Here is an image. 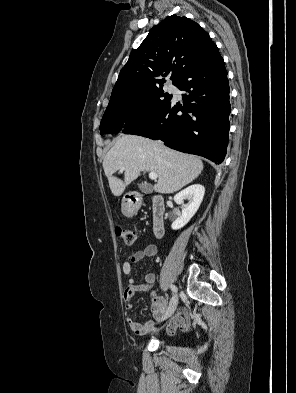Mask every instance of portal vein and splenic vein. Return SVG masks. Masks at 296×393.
I'll list each match as a JSON object with an SVG mask.
<instances>
[{
  "mask_svg": "<svg viewBox=\"0 0 296 393\" xmlns=\"http://www.w3.org/2000/svg\"><path fill=\"white\" fill-rule=\"evenodd\" d=\"M123 170H124V168L120 169V171H123ZM149 178L152 179V180H156L158 178V175L155 172H150L149 173Z\"/></svg>",
  "mask_w": 296,
  "mask_h": 393,
  "instance_id": "portal-vein-and-splenic-vein-1",
  "label": "portal vein and splenic vein"
}]
</instances>
